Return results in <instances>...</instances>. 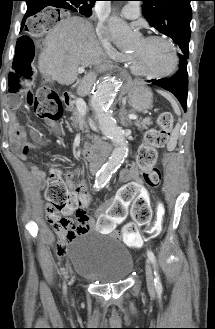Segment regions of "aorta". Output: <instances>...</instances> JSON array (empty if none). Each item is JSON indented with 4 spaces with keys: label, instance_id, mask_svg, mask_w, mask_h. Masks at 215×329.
Returning <instances> with one entry per match:
<instances>
[{
    "label": "aorta",
    "instance_id": "1",
    "mask_svg": "<svg viewBox=\"0 0 215 329\" xmlns=\"http://www.w3.org/2000/svg\"><path fill=\"white\" fill-rule=\"evenodd\" d=\"M114 43L121 48H128L132 44V31L125 21L113 16L107 23ZM118 83L115 79L107 78L100 81L92 95L91 106L95 111L98 127L102 134L114 145L109 160L96 174L95 187L100 188L107 184L113 173L121 166L128 155V142L124 130L117 125L111 106L116 98Z\"/></svg>",
    "mask_w": 215,
    "mask_h": 329
}]
</instances>
